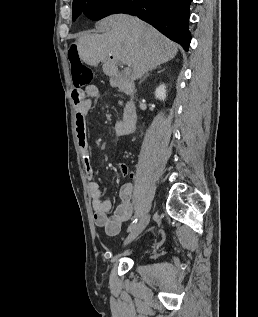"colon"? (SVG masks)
Returning a JSON list of instances; mask_svg holds the SVG:
<instances>
[{
  "instance_id": "colon-1",
  "label": "colon",
  "mask_w": 258,
  "mask_h": 317,
  "mask_svg": "<svg viewBox=\"0 0 258 317\" xmlns=\"http://www.w3.org/2000/svg\"><path fill=\"white\" fill-rule=\"evenodd\" d=\"M67 56L71 67L72 80L75 87H85L93 79V71L85 65L79 55V49L76 43L69 45Z\"/></svg>"
}]
</instances>
